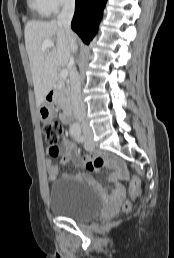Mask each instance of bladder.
<instances>
[{"instance_id": "obj_1", "label": "bladder", "mask_w": 174, "mask_h": 258, "mask_svg": "<svg viewBox=\"0 0 174 258\" xmlns=\"http://www.w3.org/2000/svg\"><path fill=\"white\" fill-rule=\"evenodd\" d=\"M49 209L58 216L88 220L100 214L102 199L84 180L74 175H64L53 182Z\"/></svg>"}]
</instances>
